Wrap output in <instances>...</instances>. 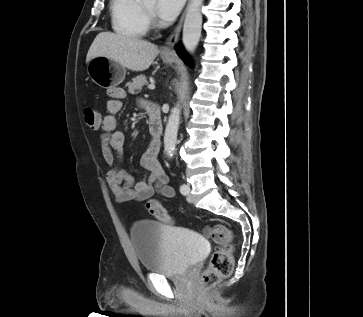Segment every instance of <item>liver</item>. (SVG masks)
I'll list each match as a JSON object with an SVG mask.
<instances>
[{
	"label": "liver",
	"instance_id": "liver-1",
	"mask_svg": "<svg viewBox=\"0 0 363 317\" xmlns=\"http://www.w3.org/2000/svg\"><path fill=\"white\" fill-rule=\"evenodd\" d=\"M159 54L157 45L139 39L111 32H101L91 44L86 63L99 56L107 57L131 71L149 68Z\"/></svg>",
	"mask_w": 363,
	"mask_h": 317
}]
</instances>
